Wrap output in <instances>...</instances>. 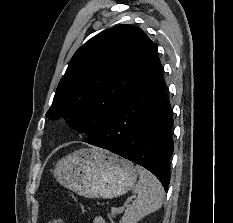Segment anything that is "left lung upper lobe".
<instances>
[{
  "label": "left lung upper lobe",
  "mask_w": 233,
  "mask_h": 223,
  "mask_svg": "<svg viewBox=\"0 0 233 223\" xmlns=\"http://www.w3.org/2000/svg\"><path fill=\"white\" fill-rule=\"evenodd\" d=\"M157 47L132 25L102 31L73 55L46 116L68 119L90 141L137 89Z\"/></svg>",
  "instance_id": "left-lung-upper-lobe-1"
}]
</instances>
